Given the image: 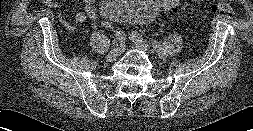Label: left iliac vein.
Here are the masks:
<instances>
[{"instance_id": "1", "label": "left iliac vein", "mask_w": 253, "mask_h": 131, "mask_svg": "<svg viewBox=\"0 0 253 131\" xmlns=\"http://www.w3.org/2000/svg\"><path fill=\"white\" fill-rule=\"evenodd\" d=\"M130 40L133 41L136 45H138L141 49L150 52L149 46L146 44L145 40L143 39H137L133 36H129Z\"/></svg>"}]
</instances>
